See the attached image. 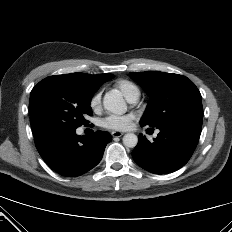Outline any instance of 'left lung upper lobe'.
I'll return each mask as SVG.
<instances>
[{"instance_id": "1", "label": "left lung upper lobe", "mask_w": 232, "mask_h": 232, "mask_svg": "<svg viewBox=\"0 0 232 232\" xmlns=\"http://www.w3.org/2000/svg\"><path fill=\"white\" fill-rule=\"evenodd\" d=\"M130 77L151 97L140 124L157 128L175 118L202 116L201 94L187 77L159 71L131 72Z\"/></svg>"}]
</instances>
